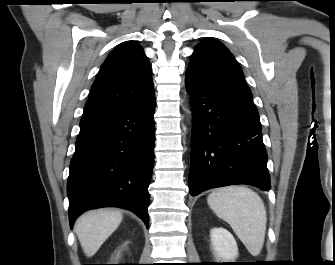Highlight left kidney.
<instances>
[{
	"label": "left kidney",
	"mask_w": 335,
	"mask_h": 265,
	"mask_svg": "<svg viewBox=\"0 0 335 265\" xmlns=\"http://www.w3.org/2000/svg\"><path fill=\"white\" fill-rule=\"evenodd\" d=\"M211 245L217 260L230 261L238 256V247L233 235L224 228L210 231Z\"/></svg>",
	"instance_id": "1"
}]
</instances>
